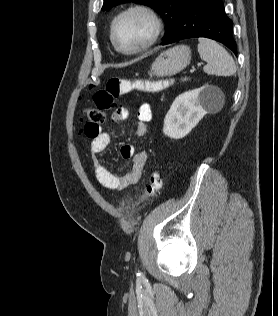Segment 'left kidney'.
<instances>
[{
	"label": "left kidney",
	"mask_w": 278,
	"mask_h": 316,
	"mask_svg": "<svg viewBox=\"0 0 278 316\" xmlns=\"http://www.w3.org/2000/svg\"><path fill=\"white\" fill-rule=\"evenodd\" d=\"M221 96L220 89L211 85L179 95L165 116L163 133L174 139L185 137Z\"/></svg>",
	"instance_id": "1"
}]
</instances>
